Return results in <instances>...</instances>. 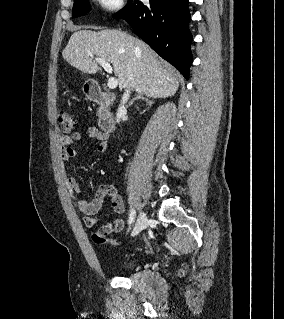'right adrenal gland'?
Returning a JSON list of instances; mask_svg holds the SVG:
<instances>
[{"label": "right adrenal gland", "instance_id": "1", "mask_svg": "<svg viewBox=\"0 0 284 319\" xmlns=\"http://www.w3.org/2000/svg\"><path fill=\"white\" fill-rule=\"evenodd\" d=\"M136 100L145 101L146 104L149 105V106H151V105L154 103L153 99H149V98H147V97H144L143 94H138L135 98H133V99L128 103V105L131 106V105L134 103V101H136Z\"/></svg>", "mask_w": 284, "mask_h": 319}]
</instances>
